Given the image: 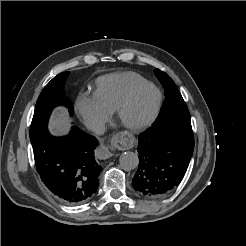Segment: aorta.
<instances>
[{
  "label": "aorta",
  "mask_w": 246,
  "mask_h": 246,
  "mask_svg": "<svg viewBox=\"0 0 246 246\" xmlns=\"http://www.w3.org/2000/svg\"><path fill=\"white\" fill-rule=\"evenodd\" d=\"M119 162L123 169L133 170L139 164V157L136 153L127 151L121 154Z\"/></svg>",
  "instance_id": "obj_1"
}]
</instances>
